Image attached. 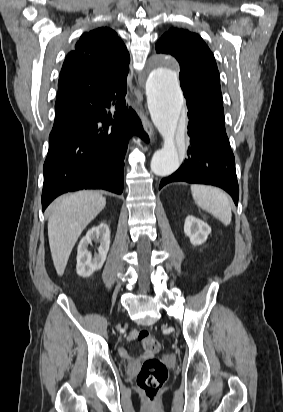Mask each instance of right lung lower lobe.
Wrapping results in <instances>:
<instances>
[{"label": "right lung lower lobe", "mask_w": 283, "mask_h": 412, "mask_svg": "<svg viewBox=\"0 0 283 412\" xmlns=\"http://www.w3.org/2000/svg\"><path fill=\"white\" fill-rule=\"evenodd\" d=\"M60 77L68 79L66 65ZM126 93V86L101 88L56 115L43 167V211L68 191L99 188L122 193L128 140L137 134L148 141L137 114L125 105Z\"/></svg>", "instance_id": "obj_1"}]
</instances>
